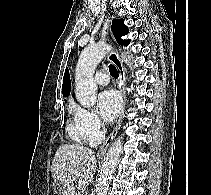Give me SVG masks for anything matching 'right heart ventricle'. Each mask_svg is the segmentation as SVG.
Wrapping results in <instances>:
<instances>
[{
	"label": "right heart ventricle",
	"mask_w": 211,
	"mask_h": 195,
	"mask_svg": "<svg viewBox=\"0 0 211 195\" xmlns=\"http://www.w3.org/2000/svg\"><path fill=\"white\" fill-rule=\"evenodd\" d=\"M70 110H71V118L68 122L69 134L75 142L82 143L85 141V139H84V137L80 131L79 125H78V120H77V115H76V107L71 105Z\"/></svg>",
	"instance_id": "right-heart-ventricle-1"
}]
</instances>
